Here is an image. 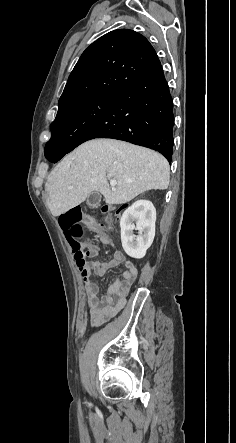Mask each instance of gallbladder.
Returning a JSON list of instances; mask_svg holds the SVG:
<instances>
[{"instance_id": "gallbladder-1", "label": "gallbladder", "mask_w": 236, "mask_h": 443, "mask_svg": "<svg viewBox=\"0 0 236 443\" xmlns=\"http://www.w3.org/2000/svg\"><path fill=\"white\" fill-rule=\"evenodd\" d=\"M102 195L99 192H92L86 199L88 206H96L101 202Z\"/></svg>"}]
</instances>
